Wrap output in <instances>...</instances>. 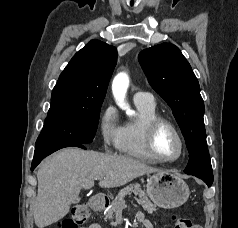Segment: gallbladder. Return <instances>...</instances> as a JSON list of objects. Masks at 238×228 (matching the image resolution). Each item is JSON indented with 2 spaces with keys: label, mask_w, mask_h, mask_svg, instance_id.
<instances>
[{
  "label": "gallbladder",
  "mask_w": 238,
  "mask_h": 228,
  "mask_svg": "<svg viewBox=\"0 0 238 228\" xmlns=\"http://www.w3.org/2000/svg\"><path fill=\"white\" fill-rule=\"evenodd\" d=\"M80 199L79 198H77V201L76 202H78Z\"/></svg>",
  "instance_id": "gallbladder-1"
}]
</instances>
